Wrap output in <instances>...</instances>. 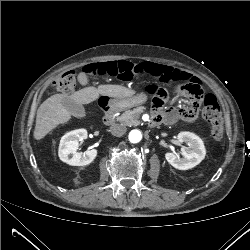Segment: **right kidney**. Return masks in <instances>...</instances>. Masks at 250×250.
<instances>
[{"label":"right kidney","instance_id":"obj_1","mask_svg":"<svg viewBox=\"0 0 250 250\" xmlns=\"http://www.w3.org/2000/svg\"><path fill=\"white\" fill-rule=\"evenodd\" d=\"M86 137V129H77L66 133L59 144L58 155L60 160L72 166L90 164L97 156V150L88 148L84 152L77 151L79 142L86 139Z\"/></svg>","mask_w":250,"mask_h":250}]
</instances>
